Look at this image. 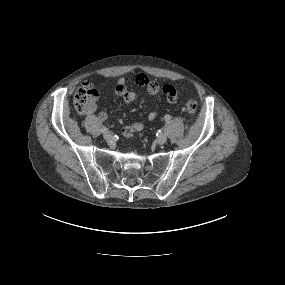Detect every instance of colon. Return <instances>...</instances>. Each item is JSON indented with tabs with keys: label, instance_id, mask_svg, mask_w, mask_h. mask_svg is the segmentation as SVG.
<instances>
[{
	"label": "colon",
	"instance_id": "obj_1",
	"mask_svg": "<svg viewBox=\"0 0 285 285\" xmlns=\"http://www.w3.org/2000/svg\"><path fill=\"white\" fill-rule=\"evenodd\" d=\"M97 94V90L92 88L90 85L85 84L77 90L74 96V105L76 110L79 113H82L86 110L90 100ZM198 103L194 98H189L184 106V111L189 114H194L197 110ZM134 134L132 127L127 126L124 128V135L130 137Z\"/></svg>",
	"mask_w": 285,
	"mask_h": 285
}]
</instances>
